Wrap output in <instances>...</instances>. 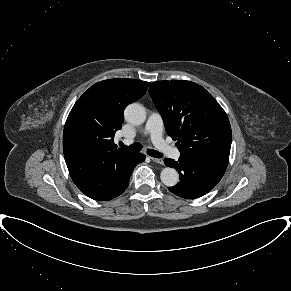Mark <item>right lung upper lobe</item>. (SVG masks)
Instances as JSON below:
<instances>
[{
  "instance_id": "1",
  "label": "right lung upper lobe",
  "mask_w": 291,
  "mask_h": 291,
  "mask_svg": "<svg viewBox=\"0 0 291 291\" xmlns=\"http://www.w3.org/2000/svg\"><path fill=\"white\" fill-rule=\"evenodd\" d=\"M149 84L125 78L98 82L70 111L63 132L64 157L73 182L88 197L114 185L134 155L117 148L114 135L121 129L125 107L141 98Z\"/></svg>"
}]
</instances>
